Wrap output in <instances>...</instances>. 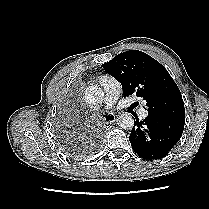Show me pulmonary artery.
Listing matches in <instances>:
<instances>
[{"mask_svg": "<svg viewBox=\"0 0 209 209\" xmlns=\"http://www.w3.org/2000/svg\"><path fill=\"white\" fill-rule=\"evenodd\" d=\"M99 83L105 92V107L110 108L116 102L120 95L119 82L110 75H103L99 78ZM142 118L147 117L148 112L145 108H142L139 112Z\"/></svg>", "mask_w": 209, "mask_h": 209, "instance_id": "1", "label": "pulmonary artery"}]
</instances>
